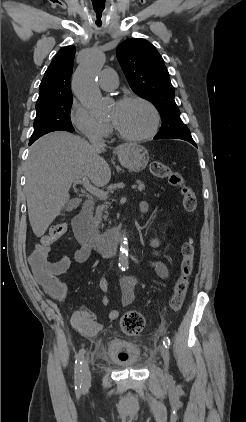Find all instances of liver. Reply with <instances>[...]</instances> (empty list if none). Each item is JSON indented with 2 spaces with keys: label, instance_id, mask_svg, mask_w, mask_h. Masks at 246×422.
Instances as JSON below:
<instances>
[{
  "label": "liver",
  "instance_id": "obj_1",
  "mask_svg": "<svg viewBox=\"0 0 246 422\" xmlns=\"http://www.w3.org/2000/svg\"><path fill=\"white\" fill-rule=\"evenodd\" d=\"M96 148L79 136L57 131L38 139L29 149L26 198L30 225L41 237L69 202L73 182L87 177L99 187L111 179L108 163Z\"/></svg>",
  "mask_w": 246,
  "mask_h": 422
}]
</instances>
